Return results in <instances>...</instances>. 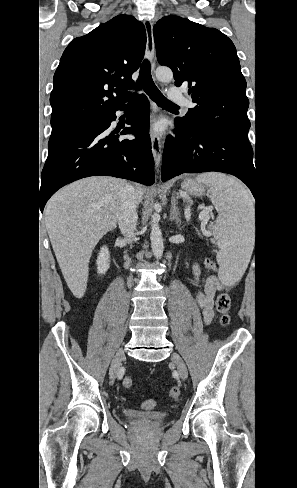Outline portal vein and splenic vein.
<instances>
[{
  "label": "portal vein and splenic vein",
  "mask_w": 297,
  "mask_h": 488,
  "mask_svg": "<svg viewBox=\"0 0 297 488\" xmlns=\"http://www.w3.org/2000/svg\"><path fill=\"white\" fill-rule=\"evenodd\" d=\"M202 208H203V211L199 215V219L203 220V219L209 218V216H210L209 213H210V211H212V207H202ZM185 218H186V220H190V218H191V213H190L189 208H187L185 210Z\"/></svg>",
  "instance_id": "portal-vein-and-splenic-vein-1"
}]
</instances>
